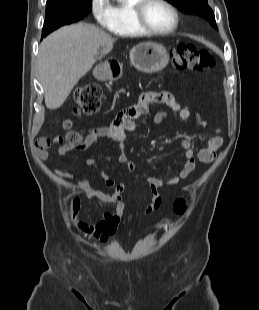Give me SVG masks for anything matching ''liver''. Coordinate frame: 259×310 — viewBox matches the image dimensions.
I'll use <instances>...</instances> for the list:
<instances>
[{
    "label": "liver",
    "mask_w": 259,
    "mask_h": 310,
    "mask_svg": "<svg viewBox=\"0 0 259 310\" xmlns=\"http://www.w3.org/2000/svg\"><path fill=\"white\" fill-rule=\"evenodd\" d=\"M115 41L98 27L84 23L65 26L47 36L38 54L46 107L59 108L79 79L92 68L98 49L109 53Z\"/></svg>",
    "instance_id": "obj_1"
}]
</instances>
